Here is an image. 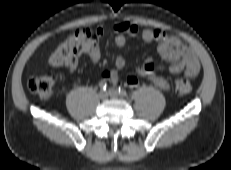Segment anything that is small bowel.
<instances>
[{"instance_id": "c3829d8e", "label": "small bowel", "mask_w": 231, "mask_h": 170, "mask_svg": "<svg viewBox=\"0 0 231 170\" xmlns=\"http://www.w3.org/2000/svg\"><path fill=\"white\" fill-rule=\"evenodd\" d=\"M113 30L115 32L114 43L118 52L113 66L102 75L103 79L110 83L118 82L119 73L126 64V59L122 50L126 45L127 37H136L139 34L145 42H157L160 56L169 63L167 66H158L152 59L148 58L137 69L140 76L148 79L157 87L165 91L170 89L169 82L160 74V71L168 70L170 73L174 74L184 72L186 76L194 77L200 70L195 51L191 46L174 35L159 29H144L140 32L138 27L130 22L117 24L113 27ZM104 33V29L98 28L93 36L82 43L80 49L68 64L70 72H74L77 69L79 58L82 55H88L93 64L99 62L101 58L99 40ZM127 81L130 86H136L138 84V79L134 76L128 77Z\"/></svg>"}]
</instances>
